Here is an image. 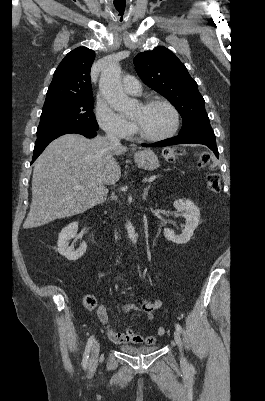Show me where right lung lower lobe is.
<instances>
[{
  "instance_id": "98d812e1",
  "label": "right lung lower lobe",
  "mask_w": 265,
  "mask_h": 401,
  "mask_svg": "<svg viewBox=\"0 0 265 401\" xmlns=\"http://www.w3.org/2000/svg\"><path fill=\"white\" fill-rule=\"evenodd\" d=\"M76 133L81 134L87 138H93L97 135V132L94 130L81 129V128H53L44 133L37 135V140L35 142L34 152H33V160L31 163L35 161V159L43 152L46 146L56 139L57 137L69 134Z\"/></svg>"
}]
</instances>
